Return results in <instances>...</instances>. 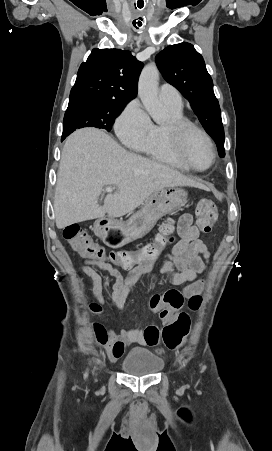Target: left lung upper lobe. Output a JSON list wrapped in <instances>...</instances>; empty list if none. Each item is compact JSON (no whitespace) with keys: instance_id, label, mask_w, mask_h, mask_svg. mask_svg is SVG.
I'll return each instance as SVG.
<instances>
[{"instance_id":"obj_1","label":"left lung upper lobe","mask_w":272,"mask_h":451,"mask_svg":"<svg viewBox=\"0 0 272 451\" xmlns=\"http://www.w3.org/2000/svg\"><path fill=\"white\" fill-rule=\"evenodd\" d=\"M156 63L167 82L190 102L199 121L216 142L219 156L223 158L225 150L221 111L203 57L192 44L183 42L161 51L156 56Z\"/></svg>"}]
</instances>
